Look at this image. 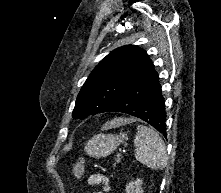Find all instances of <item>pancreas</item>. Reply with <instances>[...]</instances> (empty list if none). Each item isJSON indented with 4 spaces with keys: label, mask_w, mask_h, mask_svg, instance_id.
<instances>
[{
    "label": "pancreas",
    "mask_w": 221,
    "mask_h": 193,
    "mask_svg": "<svg viewBox=\"0 0 221 193\" xmlns=\"http://www.w3.org/2000/svg\"><path fill=\"white\" fill-rule=\"evenodd\" d=\"M116 162H117V163L120 162V159H117Z\"/></svg>",
    "instance_id": "pancreas-1"
}]
</instances>
